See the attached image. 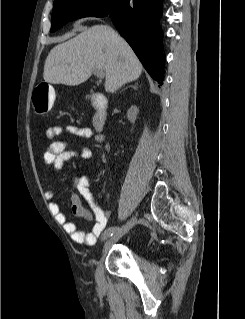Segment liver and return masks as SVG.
<instances>
[{
    "instance_id": "liver-1",
    "label": "liver",
    "mask_w": 245,
    "mask_h": 319,
    "mask_svg": "<svg viewBox=\"0 0 245 319\" xmlns=\"http://www.w3.org/2000/svg\"><path fill=\"white\" fill-rule=\"evenodd\" d=\"M98 69L106 76L109 93L138 79L143 69L129 44L108 25H94L55 46L46 58L43 78L52 84L77 86Z\"/></svg>"
}]
</instances>
